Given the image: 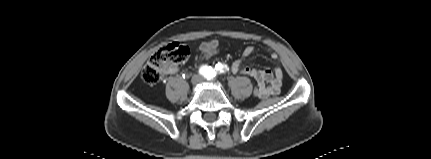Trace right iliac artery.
Here are the masks:
<instances>
[{
    "label": "right iliac artery",
    "instance_id": "obj_1",
    "mask_svg": "<svg viewBox=\"0 0 431 159\" xmlns=\"http://www.w3.org/2000/svg\"><path fill=\"white\" fill-rule=\"evenodd\" d=\"M214 72V69L210 66L203 65L199 69V73L204 76L205 78L210 79L212 77V73Z\"/></svg>",
    "mask_w": 431,
    "mask_h": 159
}]
</instances>
